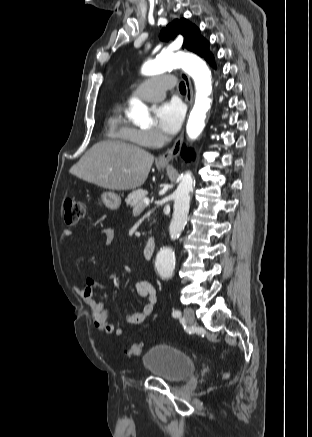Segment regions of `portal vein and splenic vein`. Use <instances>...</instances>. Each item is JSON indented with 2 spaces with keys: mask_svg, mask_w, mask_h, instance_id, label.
<instances>
[{
  "mask_svg": "<svg viewBox=\"0 0 312 437\" xmlns=\"http://www.w3.org/2000/svg\"><path fill=\"white\" fill-rule=\"evenodd\" d=\"M149 202H150L149 198H144L143 199V204L144 205H148ZM141 209H142V206H137V207L134 208V211H140Z\"/></svg>",
  "mask_w": 312,
  "mask_h": 437,
  "instance_id": "1",
  "label": "portal vein and splenic vein"
}]
</instances>
